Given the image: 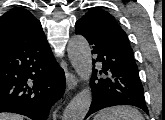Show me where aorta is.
Listing matches in <instances>:
<instances>
[{
    "mask_svg": "<svg viewBox=\"0 0 165 120\" xmlns=\"http://www.w3.org/2000/svg\"><path fill=\"white\" fill-rule=\"evenodd\" d=\"M67 53L70 63L86 87L70 101L63 112L62 120H83L92 102V93L89 87L92 74L91 49L83 36L75 35L68 43Z\"/></svg>",
    "mask_w": 165,
    "mask_h": 120,
    "instance_id": "1",
    "label": "aorta"
}]
</instances>
